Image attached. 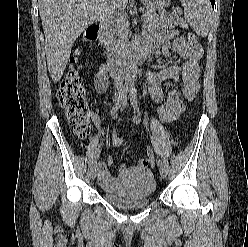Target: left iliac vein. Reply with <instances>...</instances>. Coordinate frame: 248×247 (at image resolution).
<instances>
[{
    "mask_svg": "<svg viewBox=\"0 0 248 247\" xmlns=\"http://www.w3.org/2000/svg\"><path fill=\"white\" fill-rule=\"evenodd\" d=\"M128 106V99L125 96L123 98V109L126 108ZM159 172H160V176L162 178H166L167 176V167L166 164L163 161H159Z\"/></svg>",
    "mask_w": 248,
    "mask_h": 247,
    "instance_id": "1",
    "label": "left iliac vein"
}]
</instances>
